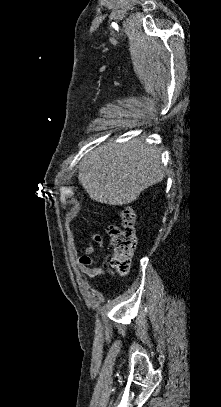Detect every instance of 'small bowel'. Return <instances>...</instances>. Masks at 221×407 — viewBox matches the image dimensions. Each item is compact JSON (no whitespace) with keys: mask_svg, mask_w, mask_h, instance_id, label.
<instances>
[{"mask_svg":"<svg viewBox=\"0 0 221 407\" xmlns=\"http://www.w3.org/2000/svg\"><path fill=\"white\" fill-rule=\"evenodd\" d=\"M90 238L98 247H103V239L100 235L92 233ZM93 253L94 245L92 243H86L82 246L81 256L77 264L78 269L88 277H97L103 280L105 278L104 268L107 267V263H104L103 267L93 266Z\"/></svg>","mask_w":221,"mask_h":407,"instance_id":"obj_1","label":"small bowel"}]
</instances>
